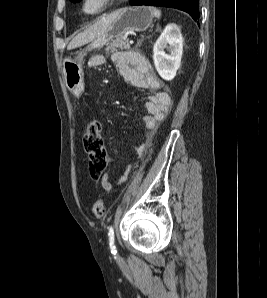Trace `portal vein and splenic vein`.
I'll return each instance as SVG.
<instances>
[{
	"mask_svg": "<svg viewBox=\"0 0 267 298\" xmlns=\"http://www.w3.org/2000/svg\"><path fill=\"white\" fill-rule=\"evenodd\" d=\"M129 43H130V44H133V43H134V41H133V40H131Z\"/></svg>",
	"mask_w": 267,
	"mask_h": 298,
	"instance_id": "portal-vein-and-splenic-vein-1",
	"label": "portal vein and splenic vein"
}]
</instances>
